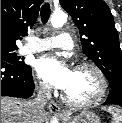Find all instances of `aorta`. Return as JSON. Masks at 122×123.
I'll return each instance as SVG.
<instances>
[{"mask_svg":"<svg viewBox=\"0 0 122 123\" xmlns=\"http://www.w3.org/2000/svg\"><path fill=\"white\" fill-rule=\"evenodd\" d=\"M67 14L62 11L55 12L51 18V25L54 28H60L67 22ZM52 123H58L56 118H53Z\"/></svg>","mask_w":122,"mask_h":123,"instance_id":"aorta-1","label":"aorta"}]
</instances>
